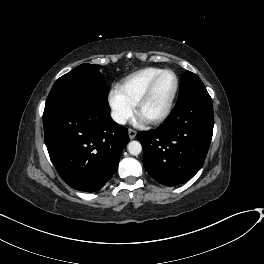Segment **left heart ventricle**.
Masks as SVG:
<instances>
[{"label": "left heart ventricle", "instance_id": "1", "mask_svg": "<svg viewBox=\"0 0 264 264\" xmlns=\"http://www.w3.org/2000/svg\"><path fill=\"white\" fill-rule=\"evenodd\" d=\"M174 84V77L171 74H164L156 84L150 98L140 108L139 116L147 120L160 114L170 98Z\"/></svg>", "mask_w": 264, "mask_h": 264}]
</instances>
